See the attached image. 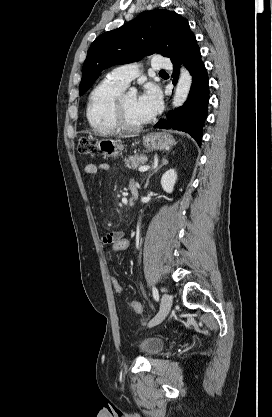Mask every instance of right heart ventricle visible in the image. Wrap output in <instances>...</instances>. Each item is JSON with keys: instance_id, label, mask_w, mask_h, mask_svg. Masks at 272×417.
Segmentation results:
<instances>
[{"instance_id": "1", "label": "right heart ventricle", "mask_w": 272, "mask_h": 417, "mask_svg": "<svg viewBox=\"0 0 272 417\" xmlns=\"http://www.w3.org/2000/svg\"><path fill=\"white\" fill-rule=\"evenodd\" d=\"M125 88L107 76L91 91L87 102L86 116L90 126L97 134L110 136L119 131L114 122L113 110L117 98Z\"/></svg>"}]
</instances>
